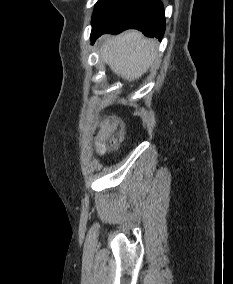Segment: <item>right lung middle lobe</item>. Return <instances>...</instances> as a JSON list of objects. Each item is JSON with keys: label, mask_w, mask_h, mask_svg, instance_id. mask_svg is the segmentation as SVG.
<instances>
[{"label": "right lung middle lobe", "mask_w": 233, "mask_h": 284, "mask_svg": "<svg viewBox=\"0 0 233 284\" xmlns=\"http://www.w3.org/2000/svg\"><path fill=\"white\" fill-rule=\"evenodd\" d=\"M112 1L113 0H98V2L95 5L94 13L92 16V23L101 15V13L107 8V6Z\"/></svg>", "instance_id": "obj_1"}]
</instances>
